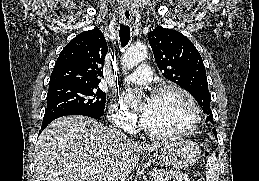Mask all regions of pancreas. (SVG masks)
I'll list each match as a JSON object with an SVG mask.
<instances>
[{"mask_svg":"<svg viewBox=\"0 0 259 181\" xmlns=\"http://www.w3.org/2000/svg\"><path fill=\"white\" fill-rule=\"evenodd\" d=\"M152 173L156 177L164 178V181H190L188 174L178 171L153 168Z\"/></svg>","mask_w":259,"mask_h":181,"instance_id":"1","label":"pancreas"}]
</instances>
